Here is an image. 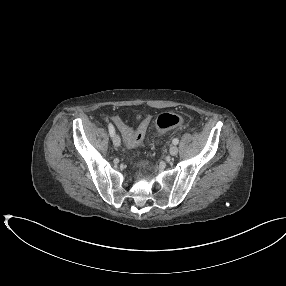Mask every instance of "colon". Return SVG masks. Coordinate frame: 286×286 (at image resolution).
Masks as SVG:
<instances>
[{"label": "colon", "instance_id": "obj_1", "mask_svg": "<svg viewBox=\"0 0 286 286\" xmlns=\"http://www.w3.org/2000/svg\"><path fill=\"white\" fill-rule=\"evenodd\" d=\"M183 122V117L174 113H164L158 116L155 126L158 132L163 133L173 128L180 126ZM148 129L147 123H141L137 130L126 138L127 147H137L142 144L145 139Z\"/></svg>", "mask_w": 286, "mask_h": 286}]
</instances>
